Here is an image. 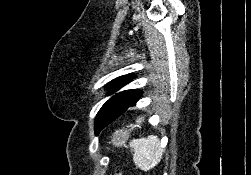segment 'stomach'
<instances>
[{"instance_id":"0dacf381","label":"stomach","mask_w":251,"mask_h":175,"mask_svg":"<svg viewBox=\"0 0 251 175\" xmlns=\"http://www.w3.org/2000/svg\"><path fill=\"white\" fill-rule=\"evenodd\" d=\"M140 123L141 119H137V123H133V125H126V127H122V129H115L111 135V141H109V143H112L114 147H124L128 137H130L131 131H133V129H138Z\"/></svg>"}]
</instances>
